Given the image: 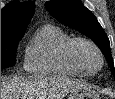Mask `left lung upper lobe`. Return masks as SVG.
Segmentation results:
<instances>
[{"label":"left lung upper lobe","mask_w":115,"mask_h":99,"mask_svg":"<svg viewBox=\"0 0 115 99\" xmlns=\"http://www.w3.org/2000/svg\"><path fill=\"white\" fill-rule=\"evenodd\" d=\"M50 14L63 24L74 28L96 43L108 61L115 76L109 39L96 17L80 0H52L45 4Z\"/></svg>","instance_id":"obj_1"}]
</instances>
